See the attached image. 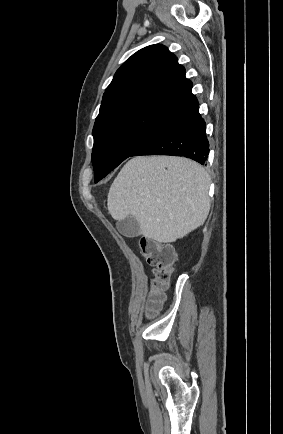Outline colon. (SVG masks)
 Listing matches in <instances>:
<instances>
[{"instance_id":"5ec220e1","label":"colon","mask_w":283,"mask_h":434,"mask_svg":"<svg viewBox=\"0 0 283 434\" xmlns=\"http://www.w3.org/2000/svg\"><path fill=\"white\" fill-rule=\"evenodd\" d=\"M138 246L147 263L153 268L150 296L147 303V314H155L164 301L171 275L177 263L173 249L163 243L150 239H141Z\"/></svg>"}]
</instances>
